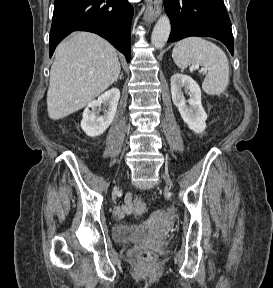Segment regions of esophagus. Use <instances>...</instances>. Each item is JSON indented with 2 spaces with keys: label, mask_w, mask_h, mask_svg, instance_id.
<instances>
[{
  "label": "esophagus",
  "mask_w": 273,
  "mask_h": 288,
  "mask_svg": "<svg viewBox=\"0 0 273 288\" xmlns=\"http://www.w3.org/2000/svg\"><path fill=\"white\" fill-rule=\"evenodd\" d=\"M161 0H146L145 20L153 22L161 14Z\"/></svg>",
  "instance_id": "34e87169"
}]
</instances>
